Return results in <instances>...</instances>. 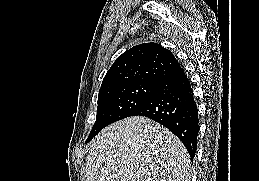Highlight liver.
<instances>
[{
	"mask_svg": "<svg viewBox=\"0 0 259 181\" xmlns=\"http://www.w3.org/2000/svg\"><path fill=\"white\" fill-rule=\"evenodd\" d=\"M86 181H191L190 157L164 126L129 117L107 126L91 142Z\"/></svg>",
	"mask_w": 259,
	"mask_h": 181,
	"instance_id": "6515ba94",
	"label": "liver"
}]
</instances>
